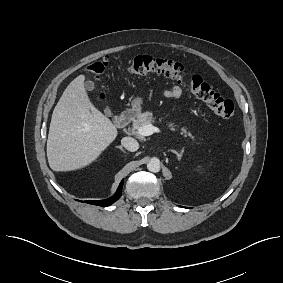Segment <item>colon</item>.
I'll list each match as a JSON object with an SVG mask.
<instances>
[{
  "label": "colon",
  "instance_id": "colon-1",
  "mask_svg": "<svg viewBox=\"0 0 283 283\" xmlns=\"http://www.w3.org/2000/svg\"><path fill=\"white\" fill-rule=\"evenodd\" d=\"M107 66L108 62L105 60L94 62L87 68L88 75L99 81ZM126 71L131 75L162 74L189 88L197 98L206 103L211 110L223 119L229 120L235 115L236 110L233 102L224 99L215 92L200 76L189 75L178 62L150 56H138L128 62ZM92 94L98 100L105 97L104 89L100 85L92 91Z\"/></svg>",
  "mask_w": 283,
  "mask_h": 283
}]
</instances>
